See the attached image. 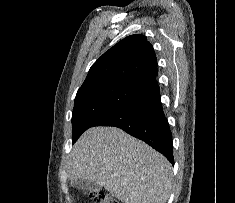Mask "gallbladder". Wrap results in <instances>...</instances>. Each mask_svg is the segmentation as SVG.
I'll use <instances>...</instances> for the list:
<instances>
[{"instance_id":"1","label":"gallbladder","mask_w":235,"mask_h":203,"mask_svg":"<svg viewBox=\"0 0 235 203\" xmlns=\"http://www.w3.org/2000/svg\"><path fill=\"white\" fill-rule=\"evenodd\" d=\"M72 185L81 190L95 191L100 188V186L94 182L88 180L76 179L72 181Z\"/></svg>"}]
</instances>
